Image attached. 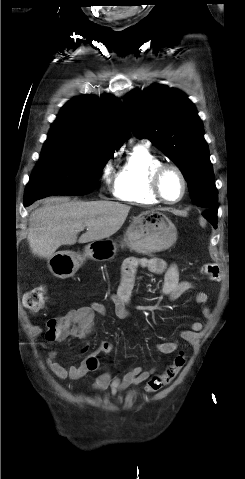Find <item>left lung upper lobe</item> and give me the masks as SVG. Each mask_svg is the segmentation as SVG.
Returning a JSON list of instances; mask_svg holds the SVG:
<instances>
[{
  "label": "left lung upper lobe",
  "mask_w": 245,
  "mask_h": 479,
  "mask_svg": "<svg viewBox=\"0 0 245 479\" xmlns=\"http://www.w3.org/2000/svg\"><path fill=\"white\" fill-rule=\"evenodd\" d=\"M123 107L134 134L150 139L180 168L191 200L204 210L216 207L218 193L203 124L187 96L153 84L144 92H130Z\"/></svg>",
  "instance_id": "5c2ea615"
}]
</instances>
